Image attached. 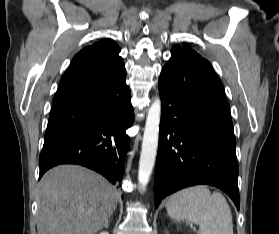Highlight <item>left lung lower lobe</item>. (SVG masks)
<instances>
[{"label":"left lung lower lobe","mask_w":279,"mask_h":234,"mask_svg":"<svg viewBox=\"0 0 279 234\" xmlns=\"http://www.w3.org/2000/svg\"><path fill=\"white\" fill-rule=\"evenodd\" d=\"M162 99L154 203L182 188H220L239 210L236 140L224 87L211 64L173 47L159 78Z\"/></svg>","instance_id":"left-lung-lower-lobe-1"}]
</instances>
